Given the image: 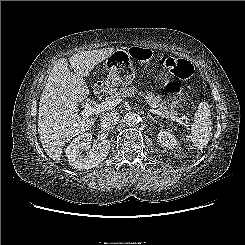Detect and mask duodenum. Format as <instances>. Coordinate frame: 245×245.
Segmentation results:
<instances>
[{
	"mask_svg": "<svg viewBox=\"0 0 245 245\" xmlns=\"http://www.w3.org/2000/svg\"><path fill=\"white\" fill-rule=\"evenodd\" d=\"M103 91H104V86H102V85H97V86L94 88V93H95L96 95L101 94Z\"/></svg>",
	"mask_w": 245,
	"mask_h": 245,
	"instance_id": "duodenum-1",
	"label": "duodenum"
}]
</instances>
